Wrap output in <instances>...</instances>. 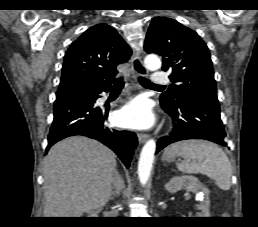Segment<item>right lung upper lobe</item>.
<instances>
[{"label": "right lung upper lobe", "instance_id": "1", "mask_svg": "<svg viewBox=\"0 0 258 227\" xmlns=\"http://www.w3.org/2000/svg\"><path fill=\"white\" fill-rule=\"evenodd\" d=\"M131 49L116 30L97 24L72 43L65 54L57 92L83 84L111 85L116 66L128 61Z\"/></svg>", "mask_w": 258, "mask_h": 227}]
</instances>
